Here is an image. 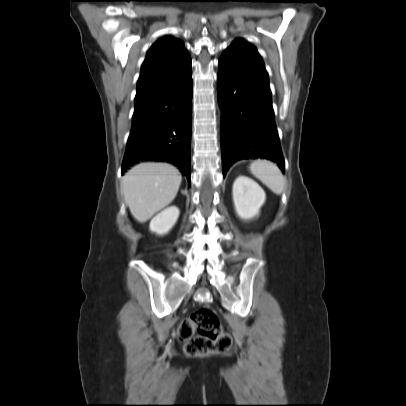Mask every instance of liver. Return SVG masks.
Wrapping results in <instances>:
<instances>
[{
	"instance_id": "1",
	"label": "liver",
	"mask_w": 406,
	"mask_h": 406,
	"mask_svg": "<svg viewBox=\"0 0 406 406\" xmlns=\"http://www.w3.org/2000/svg\"><path fill=\"white\" fill-rule=\"evenodd\" d=\"M182 176L167 163H140L123 178L121 190L133 217L140 223L169 205L177 195Z\"/></svg>"
}]
</instances>
